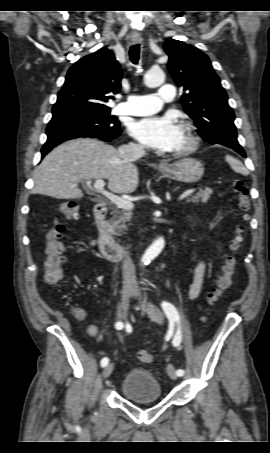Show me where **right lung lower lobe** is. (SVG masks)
Wrapping results in <instances>:
<instances>
[{"instance_id":"98d812e1","label":"right lung lower lobe","mask_w":270,"mask_h":453,"mask_svg":"<svg viewBox=\"0 0 270 453\" xmlns=\"http://www.w3.org/2000/svg\"><path fill=\"white\" fill-rule=\"evenodd\" d=\"M121 132H122L121 129L107 132L89 128H78L73 126L47 127L46 134L48 136V139L41 150L42 158L55 146L70 139H75L78 137H91L98 138L102 141H110L119 136Z\"/></svg>"}]
</instances>
